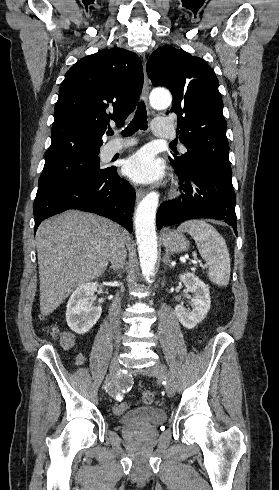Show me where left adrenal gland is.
<instances>
[{"label": "left adrenal gland", "mask_w": 279, "mask_h": 490, "mask_svg": "<svg viewBox=\"0 0 279 490\" xmlns=\"http://www.w3.org/2000/svg\"><path fill=\"white\" fill-rule=\"evenodd\" d=\"M163 264H166V266H172V262H171V258L167 252V254H165L163 260H162Z\"/></svg>", "instance_id": "1"}]
</instances>
